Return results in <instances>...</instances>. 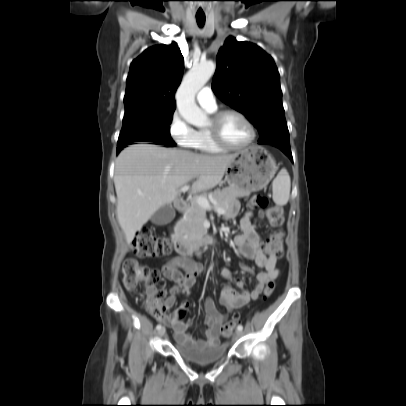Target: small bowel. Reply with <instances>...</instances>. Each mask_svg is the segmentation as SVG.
<instances>
[{"mask_svg": "<svg viewBox=\"0 0 406 406\" xmlns=\"http://www.w3.org/2000/svg\"><path fill=\"white\" fill-rule=\"evenodd\" d=\"M237 212V204L233 203L226 212L225 219L232 220ZM252 216L253 213L249 210L240 219V233L234 237V244L240 255L253 261L256 266L262 269L256 276L255 287L252 290L246 289L244 279L240 277L235 280V289L230 285H225L220 292V303L226 309V314L219 312L212 299H206L204 309L207 328L203 331V339L197 340L188 334L187 329L191 320L183 321L181 319L189 307L188 301H183L173 313L164 314L161 320L174 330L177 342L197 347L219 344L220 329L228 315L249 302L257 300L265 286L268 283H273L279 277V270L276 265L277 257L273 252L263 249L262 240L257 233L256 225L252 222ZM181 269L184 270V273H181ZM242 269L247 273H252V269L246 265H243ZM202 270L203 264L201 262L192 261L184 256L173 258L162 268V275L175 283L165 302H160L163 312H167L175 304L177 294H189L191 292ZM221 275L229 281L232 279V273L227 268H222Z\"/></svg>", "mask_w": 406, "mask_h": 406, "instance_id": "1", "label": "small bowel"}]
</instances>
